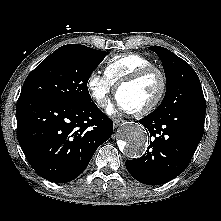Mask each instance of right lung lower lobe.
<instances>
[{"label": "right lung lower lobe", "mask_w": 221, "mask_h": 221, "mask_svg": "<svg viewBox=\"0 0 221 221\" xmlns=\"http://www.w3.org/2000/svg\"><path fill=\"white\" fill-rule=\"evenodd\" d=\"M16 116L17 138L27 160L41 177L56 183L79 176L113 132V122L93 102L19 97Z\"/></svg>", "instance_id": "right-lung-lower-lobe-1"}]
</instances>
